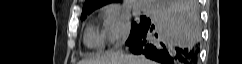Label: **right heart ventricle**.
Here are the masks:
<instances>
[{"instance_id":"e07e8e85","label":"right heart ventricle","mask_w":242,"mask_h":64,"mask_svg":"<svg viewBox=\"0 0 242 64\" xmlns=\"http://www.w3.org/2000/svg\"><path fill=\"white\" fill-rule=\"evenodd\" d=\"M84 43L89 48L99 49L103 45V36L94 26H88L84 35Z\"/></svg>"}]
</instances>
